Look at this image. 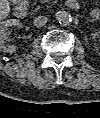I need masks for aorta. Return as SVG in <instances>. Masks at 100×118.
I'll list each match as a JSON object with an SVG mask.
<instances>
[{"instance_id": "obj_1", "label": "aorta", "mask_w": 100, "mask_h": 118, "mask_svg": "<svg viewBox=\"0 0 100 118\" xmlns=\"http://www.w3.org/2000/svg\"><path fill=\"white\" fill-rule=\"evenodd\" d=\"M56 19L62 26H68L72 22V17L67 11L56 12Z\"/></svg>"}]
</instances>
